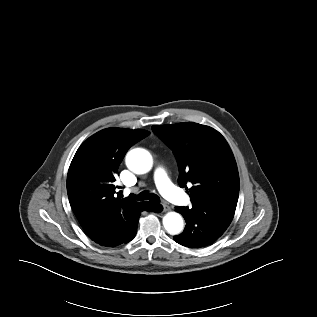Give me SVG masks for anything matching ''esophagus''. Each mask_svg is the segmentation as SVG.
<instances>
[{
	"label": "esophagus",
	"instance_id": "esophagus-1",
	"mask_svg": "<svg viewBox=\"0 0 317 317\" xmlns=\"http://www.w3.org/2000/svg\"><path fill=\"white\" fill-rule=\"evenodd\" d=\"M163 210L166 212V211H169L170 210V207L167 205V204H163Z\"/></svg>",
	"mask_w": 317,
	"mask_h": 317
}]
</instances>
